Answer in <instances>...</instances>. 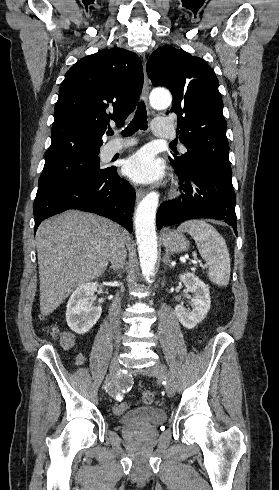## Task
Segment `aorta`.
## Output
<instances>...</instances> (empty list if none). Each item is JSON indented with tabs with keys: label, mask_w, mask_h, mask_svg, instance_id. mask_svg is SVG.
<instances>
[{
	"label": "aorta",
	"mask_w": 279,
	"mask_h": 490,
	"mask_svg": "<svg viewBox=\"0 0 279 490\" xmlns=\"http://www.w3.org/2000/svg\"><path fill=\"white\" fill-rule=\"evenodd\" d=\"M172 102L171 95L165 90H155L150 95L151 106L165 109ZM159 202V194L151 192L139 203L135 214V233L138 245L140 266L143 276L150 282L157 262V235L155 216Z\"/></svg>",
	"instance_id": "aorta-1"
}]
</instances>
